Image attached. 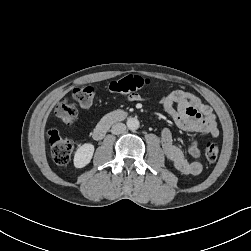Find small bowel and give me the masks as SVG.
<instances>
[{
	"instance_id": "1",
	"label": "small bowel",
	"mask_w": 251,
	"mask_h": 251,
	"mask_svg": "<svg viewBox=\"0 0 251 251\" xmlns=\"http://www.w3.org/2000/svg\"><path fill=\"white\" fill-rule=\"evenodd\" d=\"M129 101H143L140 95H130ZM174 124L186 132L206 133L217 137L219 129L213 110L198 96L183 90H174L158 100ZM161 142L164 153L176 170L185 175H198L202 171L199 161L201 151L196 140L191 142L189 154L191 160L174 144L171 131L164 128L161 131Z\"/></svg>"
}]
</instances>
